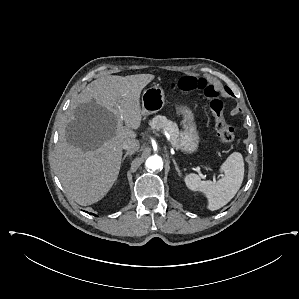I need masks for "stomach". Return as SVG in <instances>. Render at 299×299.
<instances>
[{"instance_id":"stomach-1","label":"stomach","mask_w":299,"mask_h":299,"mask_svg":"<svg viewBox=\"0 0 299 299\" xmlns=\"http://www.w3.org/2000/svg\"><path fill=\"white\" fill-rule=\"evenodd\" d=\"M165 105V93L159 85L147 88L142 95V114L151 115L159 112ZM176 111L183 116V132L179 138V148L186 153H194L198 149L200 137L197 131L193 111L185 105L176 104Z\"/></svg>"}]
</instances>
